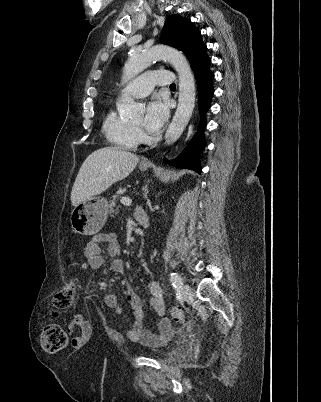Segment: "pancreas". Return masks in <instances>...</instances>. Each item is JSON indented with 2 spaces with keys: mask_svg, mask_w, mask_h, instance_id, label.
Here are the masks:
<instances>
[{
  "mask_svg": "<svg viewBox=\"0 0 321 402\" xmlns=\"http://www.w3.org/2000/svg\"><path fill=\"white\" fill-rule=\"evenodd\" d=\"M117 199H118V196L114 195L112 197V200L110 201V205H109L110 211H109V213H110L111 216H114V215H116L118 213V206H116Z\"/></svg>",
  "mask_w": 321,
  "mask_h": 402,
  "instance_id": "1",
  "label": "pancreas"
}]
</instances>
